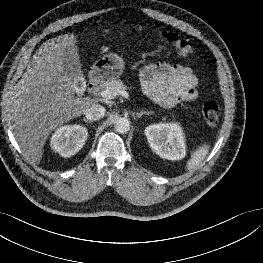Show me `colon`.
<instances>
[{
  "label": "colon",
  "instance_id": "obj_1",
  "mask_svg": "<svg viewBox=\"0 0 263 263\" xmlns=\"http://www.w3.org/2000/svg\"><path fill=\"white\" fill-rule=\"evenodd\" d=\"M131 33L135 34L136 31L131 30ZM161 36L182 57H189L192 55L194 46L190 39L171 31H164ZM202 116L208 125L217 124L220 116L219 106L214 102H206L202 107Z\"/></svg>",
  "mask_w": 263,
  "mask_h": 263
}]
</instances>
